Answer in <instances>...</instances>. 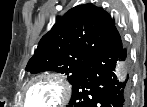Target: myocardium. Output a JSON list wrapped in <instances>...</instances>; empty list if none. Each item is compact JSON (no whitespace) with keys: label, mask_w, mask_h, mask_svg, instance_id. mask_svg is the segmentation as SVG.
<instances>
[{"label":"myocardium","mask_w":147,"mask_h":107,"mask_svg":"<svg viewBox=\"0 0 147 107\" xmlns=\"http://www.w3.org/2000/svg\"><path fill=\"white\" fill-rule=\"evenodd\" d=\"M39 83H51L56 86L58 92V99L49 106L46 107H60L66 104L71 95V86L69 82L60 74L54 72L42 73L32 78L23 89L24 104L28 101V92L30 89Z\"/></svg>","instance_id":"f54148a6"}]
</instances>
